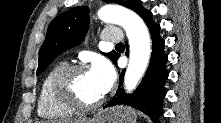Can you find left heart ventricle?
Masks as SVG:
<instances>
[{"instance_id": "b2bd125f", "label": "left heart ventricle", "mask_w": 221, "mask_h": 123, "mask_svg": "<svg viewBox=\"0 0 221 123\" xmlns=\"http://www.w3.org/2000/svg\"><path fill=\"white\" fill-rule=\"evenodd\" d=\"M71 87L74 94L85 103H93L103 96L89 71L76 74L72 79Z\"/></svg>"}]
</instances>
